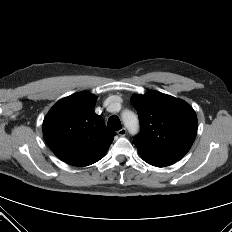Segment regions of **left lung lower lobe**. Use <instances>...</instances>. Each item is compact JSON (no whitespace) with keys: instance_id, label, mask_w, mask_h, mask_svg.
<instances>
[{"instance_id":"1","label":"left lung lower lobe","mask_w":232,"mask_h":232,"mask_svg":"<svg viewBox=\"0 0 232 232\" xmlns=\"http://www.w3.org/2000/svg\"><path fill=\"white\" fill-rule=\"evenodd\" d=\"M148 164L156 166V167H165V166H169L173 163H175L176 161H166V162H154V161H146Z\"/></svg>"}]
</instances>
